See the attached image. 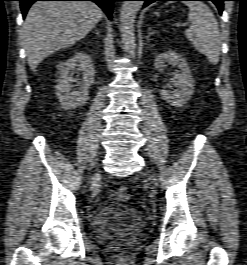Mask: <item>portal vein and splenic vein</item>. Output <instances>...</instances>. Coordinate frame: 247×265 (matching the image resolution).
I'll return each mask as SVG.
<instances>
[{
  "label": "portal vein and splenic vein",
  "mask_w": 247,
  "mask_h": 265,
  "mask_svg": "<svg viewBox=\"0 0 247 265\" xmlns=\"http://www.w3.org/2000/svg\"><path fill=\"white\" fill-rule=\"evenodd\" d=\"M176 26L177 27H181V26H183L181 23H176Z\"/></svg>",
  "instance_id": "obj_1"
}]
</instances>
